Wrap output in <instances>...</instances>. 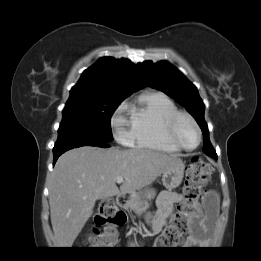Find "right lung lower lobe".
Returning <instances> with one entry per match:
<instances>
[{
    "mask_svg": "<svg viewBox=\"0 0 261 261\" xmlns=\"http://www.w3.org/2000/svg\"><path fill=\"white\" fill-rule=\"evenodd\" d=\"M82 146H98L101 148H107L109 145H107L105 142H100V141H80V142H73V143H66L62 145H57L54 146L53 148V155H54V163L57 161L58 157L66 152L67 150L77 148V147H82Z\"/></svg>",
    "mask_w": 261,
    "mask_h": 261,
    "instance_id": "right-lung-lower-lobe-1",
    "label": "right lung lower lobe"
}]
</instances>
